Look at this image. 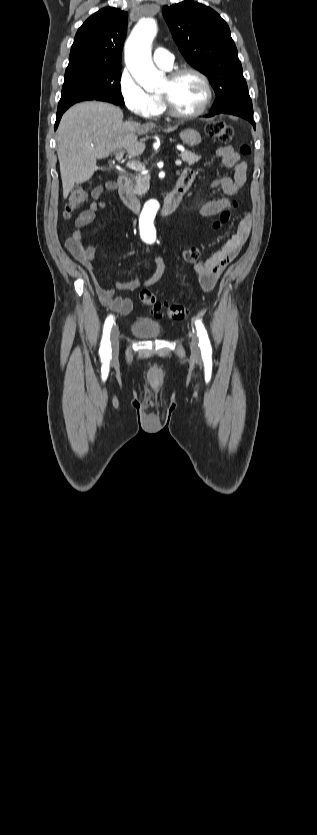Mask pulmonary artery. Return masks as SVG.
<instances>
[{
  "mask_svg": "<svg viewBox=\"0 0 317 835\" xmlns=\"http://www.w3.org/2000/svg\"><path fill=\"white\" fill-rule=\"evenodd\" d=\"M153 61L157 66L169 70L173 66L174 57L167 49L157 47L153 52Z\"/></svg>",
  "mask_w": 317,
  "mask_h": 835,
  "instance_id": "e3ab8cb5",
  "label": "pulmonary artery"
}]
</instances>
